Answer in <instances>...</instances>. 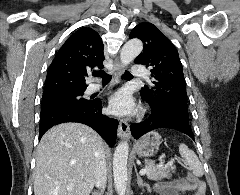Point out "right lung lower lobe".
Segmentation results:
<instances>
[{
  "instance_id": "1",
  "label": "right lung lower lobe",
  "mask_w": 240,
  "mask_h": 195,
  "mask_svg": "<svg viewBox=\"0 0 240 195\" xmlns=\"http://www.w3.org/2000/svg\"><path fill=\"white\" fill-rule=\"evenodd\" d=\"M39 139L52 126L64 122H79L93 128L109 144L114 146L118 121L102 114L101 100L86 104H56L41 109Z\"/></svg>"
}]
</instances>
